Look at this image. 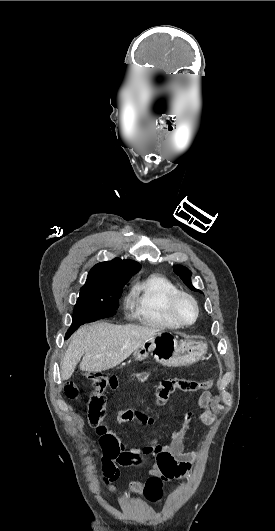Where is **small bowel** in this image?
I'll list each match as a JSON object with an SVG mask.
<instances>
[{
	"mask_svg": "<svg viewBox=\"0 0 275 531\" xmlns=\"http://www.w3.org/2000/svg\"><path fill=\"white\" fill-rule=\"evenodd\" d=\"M151 371L148 368L143 369L142 374L130 373L125 375H111L109 377V384L113 391H119L125 388L121 383L127 380L130 384H146L150 380ZM213 397L210 393H203L197 400L199 411L196 414L189 413L180 425L174 430L171 442L168 444H159L157 441V432L155 437L144 447H136L123 452L122 464L133 467H144L149 471H158L160 477L166 479H176L186 476L192 463L198 458L199 451H185L184 442L189 431L198 425H209L214 421V415L211 409ZM120 421H138L142 424H152L153 419L138 411H128L121 415ZM99 442L103 450L116 445L124 449L122 439L114 432L101 427L98 429ZM151 457V459H150ZM106 483V481H104ZM145 486L144 480H136L130 482L125 490L129 493H140ZM109 494L116 497L117 491L114 488H109Z\"/></svg>",
	"mask_w": 275,
	"mask_h": 531,
	"instance_id": "obj_1",
	"label": "small bowel"
}]
</instances>
